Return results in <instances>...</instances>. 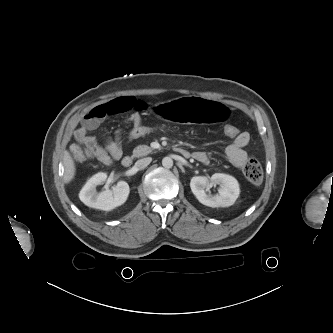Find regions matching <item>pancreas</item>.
<instances>
[{"label":"pancreas","mask_w":333,"mask_h":333,"mask_svg":"<svg viewBox=\"0 0 333 333\" xmlns=\"http://www.w3.org/2000/svg\"><path fill=\"white\" fill-rule=\"evenodd\" d=\"M152 149L147 145H139L133 150V156L140 157L150 153Z\"/></svg>","instance_id":"1"}]
</instances>
